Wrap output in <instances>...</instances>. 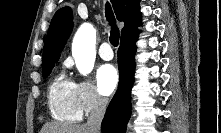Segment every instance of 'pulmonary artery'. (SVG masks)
Instances as JSON below:
<instances>
[{
  "instance_id": "obj_1",
  "label": "pulmonary artery",
  "mask_w": 221,
  "mask_h": 133,
  "mask_svg": "<svg viewBox=\"0 0 221 133\" xmlns=\"http://www.w3.org/2000/svg\"><path fill=\"white\" fill-rule=\"evenodd\" d=\"M98 53H99V56L105 61H109L113 59V56H114L111 45L107 42H104L101 44V46L99 47Z\"/></svg>"
}]
</instances>
